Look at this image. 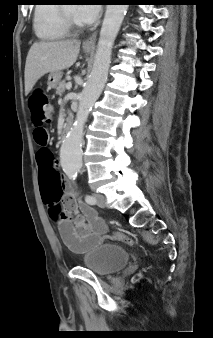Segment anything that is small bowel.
<instances>
[{
    "instance_id": "small-bowel-1",
    "label": "small bowel",
    "mask_w": 213,
    "mask_h": 338,
    "mask_svg": "<svg viewBox=\"0 0 213 338\" xmlns=\"http://www.w3.org/2000/svg\"><path fill=\"white\" fill-rule=\"evenodd\" d=\"M43 151L45 152V165L51 176V181L46 182L43 179L44 169L40 171L39 183L44 197L49 203L58 188L62 186L66 193L64 213L73 218L71 221L61 220L58 223L60 236L70 251L76 254L89 252L107 239L105 224L93 207L77 200L70 182L56 170L55 158L46 148Z\"/></svg>"
}]
</instances>
